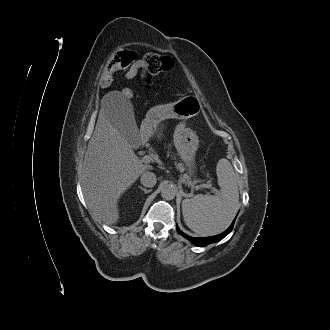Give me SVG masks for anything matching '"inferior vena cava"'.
<instances>
[{
	"instance_id": "inferior-vena-cava-1",
	"label": "inferior vena cava",
	"mask_w": 330,
	"mask_h": 330,
	"mask_svg": "<svg viewBox=\"0 0 330 330\" xmlns=\"http://www.w3.org/2000/svg\"><path fill=\"white\" fill-rule=\"evenodd\" d=\"M140 181L145 187L150 188V187H153L156 184L157 178H156V175L153 172L145 171L141 175Z\"/></svg>"
}]
</instances>
